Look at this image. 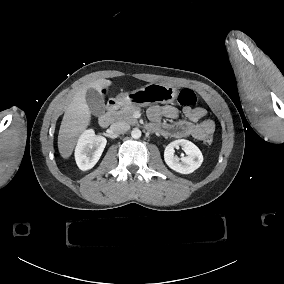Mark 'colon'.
Segmentation results:
<instances>
[{
  "label": "colon",
  "instance_id": "5ec220e1",
  "mask_svg": "<svg viewBox=\"0 0 284 284\" xmlns=\"http://www.w3.org/2000/svg\"><path fill=\"white\" fill-rule=\"evenodd\" d=\"M176 99H177V102L181 106L188 107V106H191L195 102L196 96H195V93L191 89L184 88V89H181L177 93ZM212 140L213 139L210 137H207L205 139L207 143H211Z\"/></svg>",
  "mask_w": 284,
  "mask_h": 284
}]
</instances>
